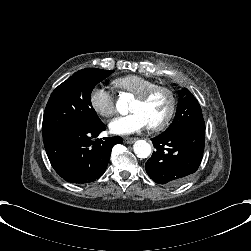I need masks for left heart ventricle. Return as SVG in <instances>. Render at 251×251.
<instances>
[{"label": "left heart ventricle", "mask_w": 251, "mask_h": 251, "mask_svg": "<svg viewBox=\"0 0 251 251\" xmlns=\"http://www.w3.org/2000/svg\"><path fill=\"white\" fill-rule=\"evenodd\" d=\"M170 105V94L165 90H159L147 102L135 99L132 105V110L143 111L147 116L149 123L153 124L162 120L166 116Z\"/></svg>", "instance_id": "b2bd125f"}]
</instances>
